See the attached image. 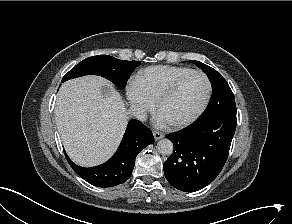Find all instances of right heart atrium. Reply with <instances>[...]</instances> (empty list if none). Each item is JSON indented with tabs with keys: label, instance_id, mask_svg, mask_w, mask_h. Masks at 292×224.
Masks as SVG:
<instances>
[{
	"label": "right heart atrium",
	"instance_id": "right-heart-atrium-1",
	"mask_svg": "<svg viewBox=\"0 0 292 224\" xmlns=\"http://www.w3.org/2000/svg\"><path fill=\"white\" fill-rule=\"evenodd\" d=\"M127 98L137 115H144L153 109V102L143 93L135 82L127 87Z\"/></svg>",
	"mask_w": 292,
	"mask_h": 224
}]
</instances>
